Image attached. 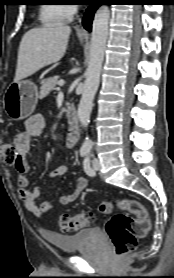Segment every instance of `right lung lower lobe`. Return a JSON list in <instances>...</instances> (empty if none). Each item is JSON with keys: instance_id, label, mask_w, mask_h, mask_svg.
Wrapping results in <instances>:
<instances>
[{"instance_id": "98d812e1", "label": "right lung lower lobe", "mask_w": 174, "mask_h": 278, "mask_svg": "<svg viewBox=\"0 0 174 278\" xmlns=\"http://www.w3.org/2000/svg\"><path fill=\"white\" fill-rule=\"evenodd\" d=\"M98 1H95V3H91L89 8L86 10L84 18H83V26L85 29L87 30H91V24H92V20H93V15H94V11L96 10V8L100 5V3H97Z\"/></svg>"}]
</instances>
